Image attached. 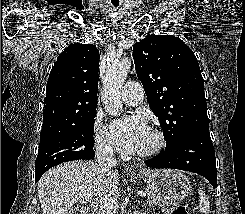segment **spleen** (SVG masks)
<instances>
[{
	"mask_svg": "<svg viewBox=\"0 0 245 214\" xmlns=\"http://www.w3.org/2000/svg\"><path fill=\"white\" fill-rule=\"evenodd\" d=\"M198 193H199V208H200V211L202 213H204V214H209L210 205H209L208 197L206 196V194L201 189H199Z\"/></svg>",
	"mask_w": 245,
	"mask_h": 214,
	"instance_id": "spleen-1",
	"label": "spleen"
}]
</instances>
